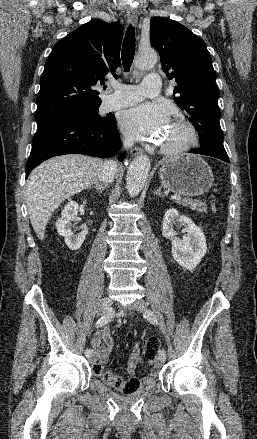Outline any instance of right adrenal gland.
I'll return each mask as SVG.
<instances>
[{
	"mask_svg": "<svg viewBox=\"0 0 257 439\" xmlns=\"http://www.w3.org/2000/svg\"><path fill=\"white\" fill-rule=\"evenodd\" d=\"M92 188H95L99 191V193H102L107 188V185L104 183L96 182L95 185L92 186Z\"/></svg>",
	"mask_w": 257,
	"mask_h": 439,
	"instance_id": "obj_1",
	"label": "right adrenal gland"
}]
</instances>
